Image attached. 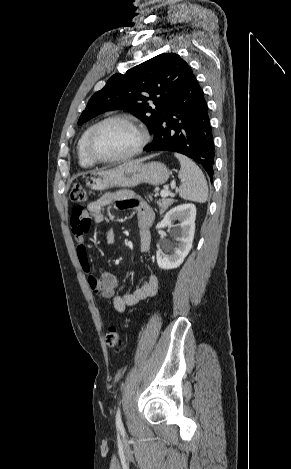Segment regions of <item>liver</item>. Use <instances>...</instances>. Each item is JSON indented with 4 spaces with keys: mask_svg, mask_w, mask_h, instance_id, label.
Instances as JSON below:
<instances>
[{
    "mask_svg": "<svg viewBox=\"0 0 291 469\" xmlns=\"http://www.w3.org/2000/svg\"><path fill=\"white\" fill-rule=\"evenodd\" d=\"M144 160H145V158H144V159L135 160V161H130V162H127V163L141 162V161H144ZM127 163H125V164H127Z\"/></svg>",
    "mask_w": 291,
    "mask_h": 469,
    "instance_id": "obj_1",
    "label": "liver"
}]
</instances>
